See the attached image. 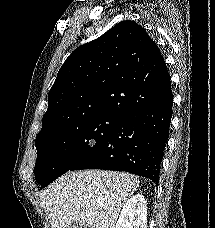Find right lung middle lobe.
Returning <instances> with one entry per match:
<instances>
[{"instance_id":"1","label":"right lung middle lobe","mask_w":215,"mask_h":228,"mask_svg":"<svg viewBox=\"0 0 215 228\" xmlns=\"http://www.w3.org/2000/svg\"><path fill=\"white\" fill-rule=\"evenodd\" d=\"M123 119L121 115L100 114L78 122L51 127L35 140V178L46 187L69 171Z\"/></svg>"}]
</instances>
